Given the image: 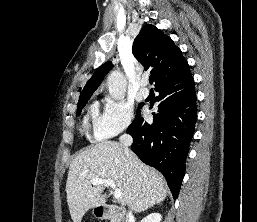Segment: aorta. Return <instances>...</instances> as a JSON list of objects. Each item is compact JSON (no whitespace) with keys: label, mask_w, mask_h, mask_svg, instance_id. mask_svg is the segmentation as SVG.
I'll use <instances>...</instances> for the list:
<instances>
[{"label":"aorta","mask_w":257,"mask_h":222,"mask_svg":"<svg viewBox=\"0 0 257 222\" xmlns=\"http://www.w3.org/2000/svg\"><path fill=\"white\" fill-rule=\"evenodd\" d=\"M107 86L110 96L115 100L124 98L127 88V83L122 72L113 71L107 78Z\"/></svg>","instance_id":"obj_1"}]
</instances>
